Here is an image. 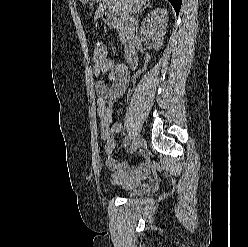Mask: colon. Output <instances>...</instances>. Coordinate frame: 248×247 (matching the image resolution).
I'll list each match as a JSON object with an SVG mask.
<instances>
[{"instance_id": "colon-1", "label": "colon", "mask_w": 248, "mask_h": 247, "mask_svg": "<svg viewBox=\"0 0 248 247\" xmlns=\"http://www.w3.org/2000/svg\"><path fill=\"white\" fill-rule=\"evenodd\" d=\"M94 57L97 60H103L106 58V48L102 43H97L95 46Z\"/></svg>"}]
</instances>
